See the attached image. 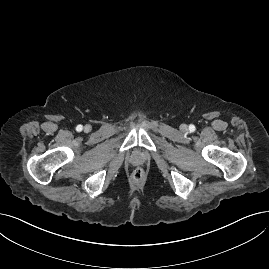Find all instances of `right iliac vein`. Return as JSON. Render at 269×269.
Segmentation results:
<instances>
[{"mask_svg": "<svg viewBox=\"0 0 269 269\" xmlns=\"http://www.w3.org/2000/svg\"><path fill=\"white\" fill-rule=\"evenodd\" d=\"M91 129H92V127H91V125H89V124L85 125V127H84V131H85V132H90Z\"/></svg>", "mask_w": 269, "mask_h": 269, "instance_id": "63e3f726", "label": "right iliac vein"}]
</instances>
